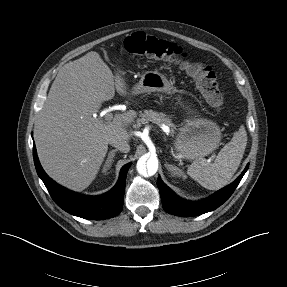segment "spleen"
<instances>
[{
    "mask_svg": "<svg viewBox=\"0 0 287 287\" xmlns=\"http://www.w3.org/2000/svg\"><path fill=\"white\" fill-rule=\"evenodd\" d=\"M246 145L247 133L242 125L232 140L220 150L213 163L200 157L189 166L187 174L206 189H220L230 182L237 171Z\"/></svg>",
    "mask_w": 287,
    "mask_h": 287,
    "instance_id": "1",
    "label": "spleen"
}]
</instances>
